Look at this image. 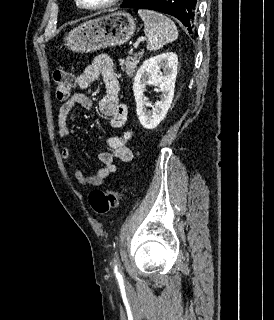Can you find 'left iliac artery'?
<instances>
[{
	"label": "left iliac artery",
	"instance_id": "obj_1",
	"mask_svg": "<svg viewBox=\"0 0 274 320\" xmlns=\"http://www.w3.org/2000/svg\"><path fill=\"white\" fill-rule=\"evenodd\" d=\"M116 264H115V267H114V272H115V275L118 279H122V276L118 270V265H117V261L115 260Z\"/></svg>",
	"mask_w": 274,
	"mask_h": 320
}]
</instances>
